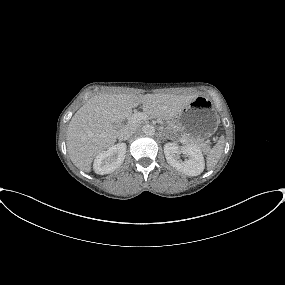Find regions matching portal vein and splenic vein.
<instances>
[{
	"label": "portal vein and splenic vein",
	"instance_id": "18ae733b",
	"mask_svg": "<svg viewBox=\"0 0 285 285\" xmlns=\"http://www.w3.org/2000/svg\"><path fill=\"white\" fill-rule=\"evenodd\" d=\"M147 118V115L141 112L134 113L130 118H129V123H137L140 122L141 120H145Z\"/></svg>",
	"mask_w": 285,
	"mask_h": 285
}]
</instances>
